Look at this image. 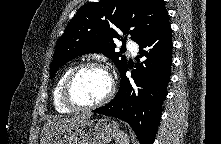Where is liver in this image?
Returning a JSON list of instances; mask_svg holds the SVG:
<instances>
[{
	"mask_svg": "<svg viewBox=\"0 0 221 144\" xmlns=\"http://www.w3.org/2000/svg\"><path fill=\"white\" fill-rule=\"evenodd\" d=\"M90 115H78L71 118H54L48 120L43 128L41 136V144H45L48 139H50L55 133L75 125L83 123L88 120Z\"/></svg>",
	"mask_w": 221,
	"mask_h": 144,
	"instance_id": "liver-1",
	"label": "liver"
}]
</instances>
